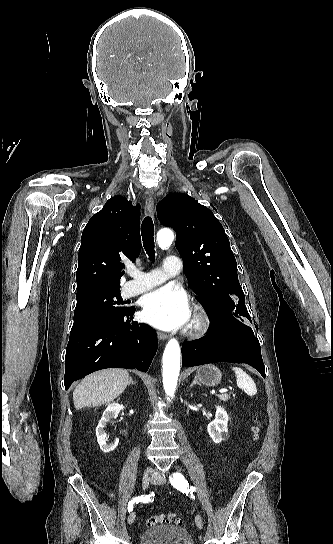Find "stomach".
Masks as SVG:
<instances>
[{"label": "stomach", "mask_w": 333, "mask_h": 544, "mask_svg": "<svg viewBox=\"0 0 333 544\" xmlns=\"http://www.w3.org/2000/svg\"><path fill=\"white\" fill-rule=\"evenodd\" d=\"M196 378L206 386H216L221 382L222 374L217 366L213 364H206L197 370Z\"/></svg>", "instance_id": "obj_1"}]
</instances>
